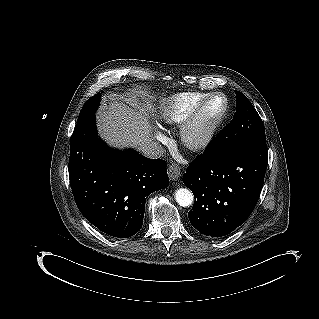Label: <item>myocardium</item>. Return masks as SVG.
Instances as JSON below:
<instances>
[{
	"label": "myocardium",
	"instance_id": "1",
	"mask_svg": "<svg viewBox=\"0 0 319 319\" xmlns=\"http://www.w3.org/2000/svg\"><path fill=\"white\" fill-rule=\"evenodd\" d=\"M222 99L223 106L214 120L201 132H198L199 123L206 106L214 99ZM228 111V102L224 94L220 92H213L207 94L196 107L191 111L186 120L181 123L178 129V139L182 147L191 151H200L207 147L218 128L223 122Z\"/></svg>",
	"mask_w": 319,
	"mask_h": 319
}]
</instances>
